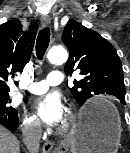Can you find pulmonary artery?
Segmentation results:
<instances>
[{
    "instance_id": "e3ab8cb5",
    "label": "pulmonary artery",
    "mask_w": 130,
    "mask_h": 153,
    "mask_svg": "<svg viewBox=\"0 0 130 153\" xmlns=\"http://www.w3.org/2000/svg\"><path fill=\"white\" fill-rule=\"evenodd\" d=\"M63 81V75L61 72H51L47 75L46 80L32 82L28 87L27 91L33 94H41L47 91L49 86H56L61 84Z\"/></svg>"
}]
</instances>
